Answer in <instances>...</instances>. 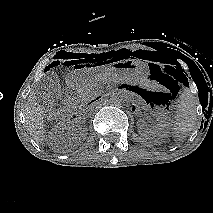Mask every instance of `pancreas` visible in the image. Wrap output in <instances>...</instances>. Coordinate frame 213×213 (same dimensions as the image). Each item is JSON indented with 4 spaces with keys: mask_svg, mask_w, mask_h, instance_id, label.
<instances>
[{
    "mask_svg": "<svg viewBox=\"0 0 213 213\" xmlns=\"http://www.w3.org/2000/svg\"><path fill=\"white\" fill-rule=\"evenodd\" d=\"M78 94L81 103L89 102L98 95L97 84L95 82L86 83L78 90Z\"/></svg>",
    "mask_w": 213,
    "mask_h": 213,
    "instance_id": "obj_1",
    "label": "pancreas"
}]
</instances>
